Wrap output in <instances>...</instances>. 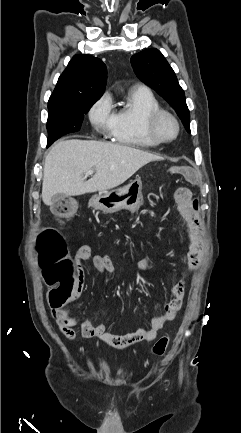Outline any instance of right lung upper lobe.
Returning <instances> with one entry per match:
<instances>
[{
	"label": "right lung upper lobe",
	"mask_w": 241,
	"mask_h": 433,
	"mask_svg": "<svg viewBox=\"0 0 241 433\" xmlns=\"http://www.w3.org/2000/svg\"><path fill=\"white\" fill-rule=\"evenodd\" d=\"M106 78V66L99 58L77 54L59 77L49 102L98 100L105 90Z\"/></svg>",
	"instance_id": "right-lung-upper-lobe-1"
}]
</instances>
